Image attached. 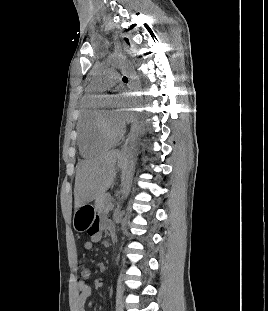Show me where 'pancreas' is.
<instances>
[{
	"label": "pancreas",
	"instance_id": "pancreas-1",
	"mask_svg": "<svg viewBox=\"0 0 268 311\" xmlns=\"http://www.w3.org/2000/svg\"><path fill=\"white\" fill-rule=\"evenodd\" d=\"M114 207L110 194L104 193L96 199L95 209L100 213H106Z\"/></svg>",
	"mask_w": 268,
	"mask_h": 311
}]
</instances>
